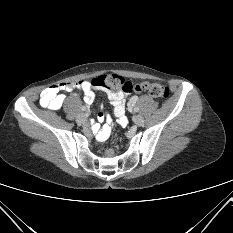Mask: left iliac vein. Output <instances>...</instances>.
I'll use <instances>...</instances> for the list:
<instances>
[{
	"instance_id": "1",
	"label": "left iliac vein",
	"mask_w": 233,
	"mask_h": 233,
	"mask_svg": "<svg viewBox=\"0 0 233 233\" xmlns=\"http://www.w3.org/2000/svg\"><path fill=\"white\" fill-rule=\"evenodd\" d=\"M134 123L136 126H142L144 124V118L141 115H137L134 118Z\"/></svg>"
}]
</instances>
